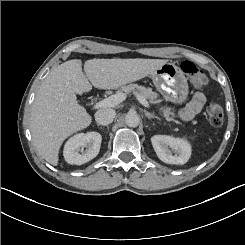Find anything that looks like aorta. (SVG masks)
<instances>
[{
  "label": "aorta",
  "mask_w": 245,
  "mask_h": 245,
  "mask_svg": "<svg viewBox=\"0 0 245 245\" xmlns=\"http://www.w3.org/2000/svg\"><path fill=\"white\" fill-rule=\"evenodd\" d=\"M140 118L138 114L129 112L125 116V123L128 127H137L139 125Z\"/></svg>",
  "instance_id": "1"
}]
</instances>
